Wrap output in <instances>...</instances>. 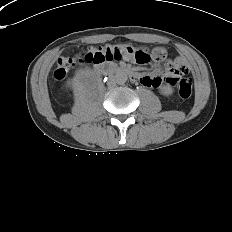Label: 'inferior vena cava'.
<instances>
[{"label":"inferior vena cava","mask_w":232,"mask_h":232,"mask_svg":"<svg viewBox=\"0 0 232 232\" xmlns=\"http://www.w3.org/2000/svg\"><path fill=\"white\" fill-rule=\"evenodd\" d=\"M114 82L113 81H109V86H113Z\"/></svg>","instance_id":"inferior-vena-cava-1"}]
</instances>
